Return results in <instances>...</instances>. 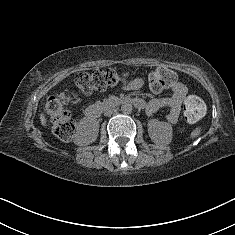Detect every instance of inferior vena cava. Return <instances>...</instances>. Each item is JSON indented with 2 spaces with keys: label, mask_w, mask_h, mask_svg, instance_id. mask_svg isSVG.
I'll list each match as a JSON object with an SVG mask.
<instances>
[{
  "label": "inferior vena cava",
  "mask_w": 235,
  "mask_h": 235,
  "mask_svg": "<svg viewBox=\"0 0 235 235\" xmlns=\"http://www.w3.org/2000/svg\"><path fill=\"white\" fill-rule=\"evenodd\" d=\"M114 111L113 110H108L105 112L106 115H111Z\"/></svg>",
  "instance_id": "obj_1"
}]
</instances>
